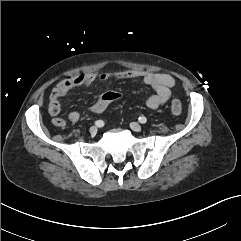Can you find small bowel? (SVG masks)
Segmentation results:
<instances>
[{
	"mask_svg": "<svg viewBox=\"0 0 241 241\" xmlns=\"http://www.w3.org/2000/svg\"><path fill=\"white\" fill-rule=\"evenodd\" d=\"M126 79H142L145 84L154 89V94L147 100V106L152 110L158 109L168 101L171 96V89L175 85V79L170 74L156 73L142 69H131L114 73L86 72L76 74L58 82L51 92L48 112L52 117V123L57 127H63L65 125L64 119L59 117L61 112L60 99L64 97L69 90L80 86H90L97 81L107 82L109 80ZM102 96L103 94L90 108L95 114L104 112L112 102L103 100ZM68 120L71 123H77L80 120V114L72 111L68 115Z\"/></svg>",
	"mask_w": 241,
	"mask_h": 241,
	"instance_id": "1",
	"label": "small bowel"
}]
</instances>
